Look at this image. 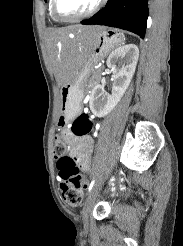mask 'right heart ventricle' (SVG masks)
<instances>
[{
    "label": "right heart ventricle",
    "mask_w": 183,
    "mask_h": 246,
    "mask_svg": "<svg viewBox=\"0 0 183 246\" xmlns=\"http://www.w3.org/2000/svg\"><path fill=\"white\" fill-rule=\"evenodd\" d=\"M51 6H52V0H49V14L52 19L57 20L52 14Z\"/></svg>",
    "instance_id": "right-heart-ventricle-1"
}]
</instances>
